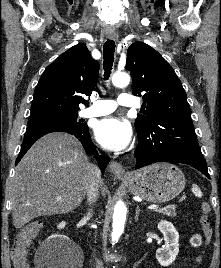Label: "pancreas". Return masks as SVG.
Segmentation results:
<instances>
[{
  "label": "pancreas",
  "mask_w": 221,
  "mask_h": 268,
  "mask_svg": "<svg viewBox=\"0 0 221 268\" xmlns=\"http://www.w3.org/2000/svg\"><path fill=\"white\" fill-rule=\"evenodd\" d=\"M155 211L169 217H175L177 215L175 205H168L164 208H158Z\"/></svg>",
  "instance_id": "pancreas-1"
}]
</instances>
